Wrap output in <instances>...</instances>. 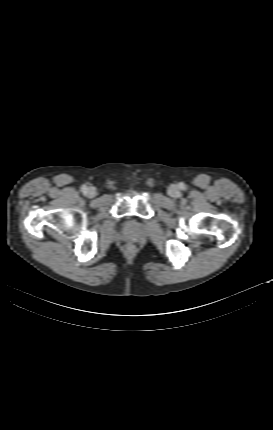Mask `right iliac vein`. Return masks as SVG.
<instances>
[{"label":"right iliac vein","mask_w":273,"mask_h":430,"mask_svg":"<svg viewBox=\"0 0 273 430\" xmlns=\"http://www.w3.org/2000/svg\"><path fill=\"white\" fill-rule=\"evenodd\" d=\"M96 188L95 187H89L88 188V190H87V193H86V195H87V197H89V198H93V197H95L96 196Z\"/></svg>","instance_id":"right-iliac-vein-1"}]
</instances>
